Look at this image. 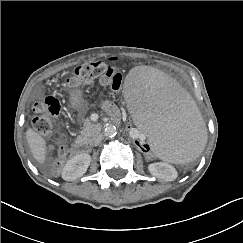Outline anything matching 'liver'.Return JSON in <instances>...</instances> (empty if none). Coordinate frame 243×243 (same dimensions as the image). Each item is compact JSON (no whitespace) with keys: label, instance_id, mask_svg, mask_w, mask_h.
<instances>
[{"label":"liver","instance_id":"obj_1","mask_svg":"<svg viewBox=\"0 0 243 243\" xmlns=\"http://www.w3.org/2000/svg\"><path fill=\"white\" fill-rule=\"evenodd\" d=\"M26 139L34 159L38 163L43 164L45 162L47 152L45 139L31 128H28L26 131Z\"/></svg>","mask_w":243,"mask_h":243}]
</instances>
